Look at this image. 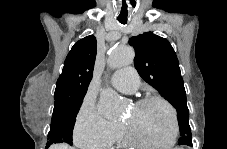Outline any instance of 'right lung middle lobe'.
Listing matches in <instances>:
<instances>
[{
    "mask_svg": "<svg viewBox=\"0 0 227 149\" xmlns=\"http://www.w3.org/2000/svg\"><path fill=\"white\" fill-rule=\"evenodd\" d=\"M82 98L55 100L47 148L53 143L72 145V132L75 119L82 104Z\"/></svg>",
    "mask_w": 227,
    "mask_h": 149,
    "instance_id": "obj_1",
    "label": "right lung middle lobe"
}]
</instances>
